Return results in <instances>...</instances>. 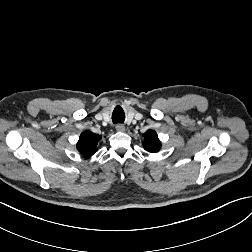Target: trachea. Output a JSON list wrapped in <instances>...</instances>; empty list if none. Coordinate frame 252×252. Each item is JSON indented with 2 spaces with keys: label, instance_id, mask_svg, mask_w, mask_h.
<instances>
[{
  "label": "trachea",
  "instance_id": "obj_1",
  "mask_svg": "<svg viewBox=\"0 0 252 252\" xmlns=\"http://www.w3.org/2000/svg\"><path fill=\"white\" fill-rule=\"evenodd\" d=\"M124 120H125L124 114H119V115L113 114L112 115V121H113V123H123Z\"/></svg>",
  "mask_w": 252,
  "mask_h": 252
}]
</instances>
